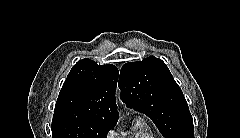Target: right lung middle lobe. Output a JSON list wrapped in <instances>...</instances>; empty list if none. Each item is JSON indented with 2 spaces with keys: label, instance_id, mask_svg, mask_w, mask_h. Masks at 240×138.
<instances>
[{
  "label": "right lung middle lobe",
  "instance_id": "right-lung-middle-lobe-1",
  "mask_svg": "<svg viewBox=\"0 0 240 138\" xmlns=\"http://www.w3.org/2000/svg\"><path fill=\"white\" fill-rule=\"evenodd\" d=\"M113 126L78 118H53L52 138H106Z\"/></svg>",
  "mask_w": 240,
  "mask_h": 138
}]
</instances>
